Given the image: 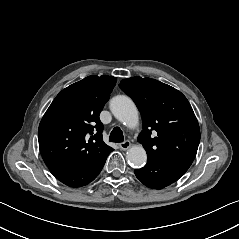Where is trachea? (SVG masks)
<instances>
[{
  "mask_svg": "<svg viewBox=\"0 0 239 239\" xmlns=\"http://www.w3.org/2000/svg\"><path fill=\"white\" fill-rule=\"evenodd\" d=\"M109 141L114 143H122L124 141L123 132L119 127H115L109 136Z\"/></svg>",
  "mask_w": 239,
  "mask_h": 239,
  "instance_id": "obj_1",
  "label": "trachea"
}]
</instances>
